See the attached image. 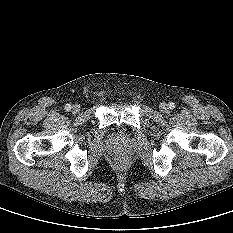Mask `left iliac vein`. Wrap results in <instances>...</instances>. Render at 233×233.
<instances>
[{
	"label": "left iliac vein",
	"instance_id": "1",
	"mask_svg": "<svg viewBox=\"0 0 233 233\" xmlns=\"http://www.w3.org/2000/svg\"><path fill=\"white\" fill-rule=\"evenodd\" d=\"M159 108H160V111L162 113H167L168 112V105L166 103H161Z\"/></svg>",
	"mask_w": 233,
	"mask_h": 233
}]
</instances>
